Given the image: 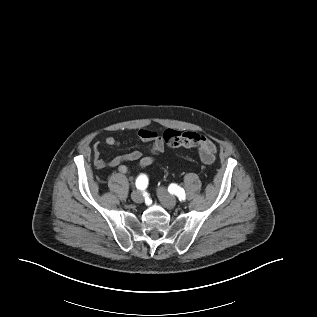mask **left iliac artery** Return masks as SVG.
Masks as SVG:
<instances>
[{"label": "left iliac artery", "mask_w": 317, "mask_h": 317, "mask_svg": "<svg viewBox=\"0 0 317 317\" xmlns=\"http://www.w3.org/2000/svg\"><path fill=\"white\" fill-rule=\"evenodd\" d=\"M169 191L170 193H175V195L179 198L180 201H184L186 199L184 189L175 184L170 185Z\"/></svg>", "instance_id": "obj_1"}]
</instances>
